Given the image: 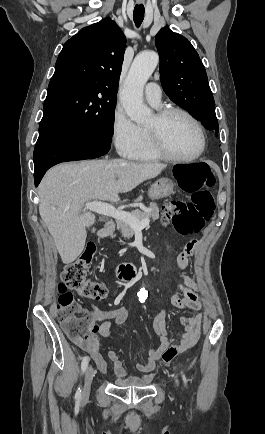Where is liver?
I'll return each instance as SVG.
<instances>
[{
    "label": "liver",
    "instance_id": "obj_1",
    "mask_svg": "<svg viewBox=\"0 0 265 434\" xmlns=\"http://www.w3.org/2000/svg\"><path fill=\"white\" fill-rule=\"evenodd\" d=\"M166 164H135L126 160H87L59 164L45 174L39 188V214L63 264H72L84 250L95 216L84 212L85 202H119L120 192L161 174Z\"/></svg>",
    "mask_w": 265,
    "mask_h": 434
}]
</instances>
